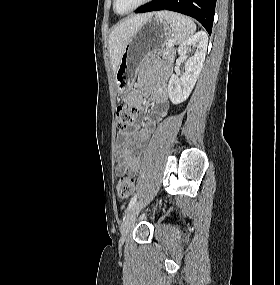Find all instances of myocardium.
Returning a JSON list of instances; mask_svg holds the SVG:
<instances>
[{
    "mask_svg": "<svg viewBox=\"0 0 280 285\" xmlns=\"http://www.w3.org/2000/svg\"><path fill=\"white\" fill-rule=\"evenodd\" d=\"M151 0H142L141 2H139L136 6H134L133 8H131L130 10L126 11V12H119L117 10V0H113V8L114 11L119 14V15H126L129 13H132L134 11H136L137 9H139L140 7L144 6L145 4L149 3Z\"/></svg>",
    "mask_w": 280,
    "mask_h": 285,
    "instance_id": "f54148a6",
    "label": "myocardium"
}]
</instances>
